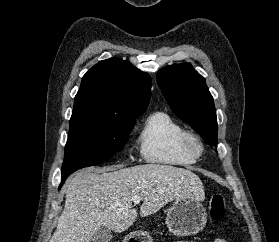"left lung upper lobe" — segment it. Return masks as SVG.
I'll return each mask as SVG.
<instances>
[{
	"label": "left lung upper lobe",
	"mask_w": 279,
	"mask_h": 242,
	"mask_svg": "<svg viewBox=\"0 0 279 242\" xmlns=\"http://www.w3.org/2000/svg\"><path fill=\"white\" fill-rule=\"evenodd\" d=\"M157 82L172 111L210 145L216 146V111L205 79L190 63H182L161 69Z\"/></svg>",
	"instance_id": "1"
}]
</instances>
